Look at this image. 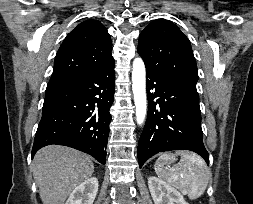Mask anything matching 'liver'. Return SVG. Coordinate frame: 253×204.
Instances as JSON below:
<instances>
[{
	"label": "liver",
	"instance_id": "1",
	"mask_svg": "<svg viewBox=\"0 0 253 204\" xmlns=\"http://www.w3.org/2000/svg\"><path fill=\"white\" fill-rule=\"evenodd\" d=\"M32 171L43 204H64L71 192L92 176L94 165L84 153L49 145L36 153Z\"/></svg>",
	"mask_w": 253,
	"mask_h": 204
}]
</instances>
